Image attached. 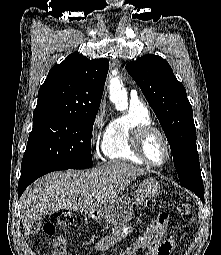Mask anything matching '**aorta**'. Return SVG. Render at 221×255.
I'll use <instances>...</instances> for the list:
<instances>
[{
    "label": "aorta",
    "mask_w": 221,
    "mask_h": 255,
    "mask_svg": "<svg viewBox=\"0 0 221 255\" xmlns=\"http://www.w3.org/2000/svg\"><path fill=\"white\" fill-rule=\"evenodd\" d=\"M109 98L117 110L123 111L128 107V97L123 84L118 78H113L109 86Z\"/></svg>",
    "instance_id": "1"
}]
</instances>
